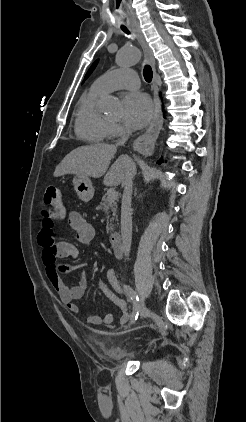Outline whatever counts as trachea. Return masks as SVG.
I'll return each instance as SVG.
<instances>
[{
    "label": "trachea",
    "mask_w": 246,
    "mask_h": 422,
    "mask_svg": "<svg viewBox=\"0 0 246 422\" xmlns=\"http://www.w3.org/2000/svg\"><path fill=\"white\" fill-rule=\"evenodd\" d=\"M122 30L125 32V33H127V34H129L130 32H129V30L127 29V28H125V27H122ZM143 76H144V79L149 83V82H151V80H152V77H153V72H152V69H151V67L149 66V65H145V67H144V69H143Z\"/></svg>",
    "instance_id": "3493384b"
}]
</instances>
